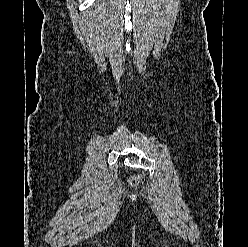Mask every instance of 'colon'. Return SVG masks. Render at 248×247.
Segmentation results:
<instances>
[{
    "label": "colon",
    "instance_id": "1",
    "mask_svg": "<svg viewBox=\"0 0 248 247\" xmlns=\"http://www.w3.org/2000/svg\"><path fill=\"white\" fill-rule=\"evenodd\" d=\"M139 182H140V177H139V176H132V177H130V179H129V183H130L132 186H136Z\"/></svg>",
    "mask_w": 248,
    "mask_h": 247
}]
</instances>
